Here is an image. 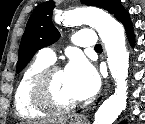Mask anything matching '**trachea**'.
Returning a JSON list of instances; mask_svg holds the SVG:
<instances>
[{"mask_svg": "<svg viewBox=\"0 0 145 124\" xmlns=\"http://www.w3.org/2000/svg\"><path fill=\"white\" fill-rule=\"evenodd\" d=\"M100 49H102V46H101L100 44H97V45L95 46V50H100Z\"/></svg>", "mask_w": 145, "mask_h": 124, "instance_id": "obj_1", "label": "trachea"}]
</instances>
